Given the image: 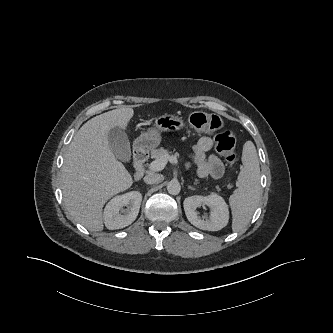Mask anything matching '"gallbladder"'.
<instances>
[{"mask_svg":"<svg viewBox=\"0 0 333 333\" xmlns=\"http://www.w3.org/2000/svg\"><path fill=\"white\" fill-rule=\"evenodd\" d=\"M108 141L114 156L123 161L129 162L131 159L130 142L127 133L120 127L112 128L108 133Z\"/></svg>","mask_w":333,"mask_h":333,"instance_id":"obj_1","label":"gallbladder"}]
</instances>
